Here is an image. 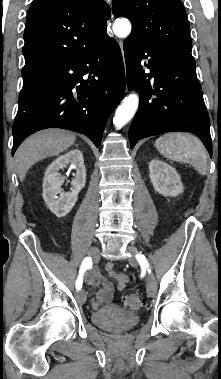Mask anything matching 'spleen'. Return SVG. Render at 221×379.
<instances>
[{
	"label": "spleen",
	"mask_w": 221,
	"mask_h": 379,
	"mask_svg": "<svg viewBox=\"0 0 221 379\" xmlns=\"http://www.w3.org/2000/svg\"><path fill=\"white\" fill-rule=\"evenodd\" d=\"M155 146L165 158L192 165L199 174L207 172V152L202 142L191 134L168 133L160 136Z\"/></svg>",
	"instance_id": "3e777b00"
}]
</instances>
